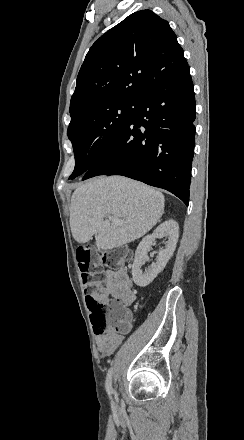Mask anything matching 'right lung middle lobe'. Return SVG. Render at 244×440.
<instances>
[{
    "label": "right lung middle lobe",
    "instance_id": "dd1d6c3e",
    "mask_svg": "<svg viewBox=\"0 0 244 440\" xmlns=\"http://www.w3.org/2000/svg\"><path fill=\"white\" fill-rule=\"evenodd\" d=\"M140 98H107L70 110L67 135L75 153L69 179L83 175L132 119Z\"/></svg>",
    "mask_w": 244,
    "mask_h": 440
}]
</instances>
